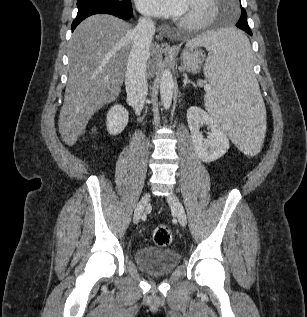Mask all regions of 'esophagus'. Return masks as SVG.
I'll return each mask as SVG.
<instances>
[{
  "instance_id": "obj_1",
  "label": "esophagus",
  "mask_w": 307,
  "mask_h": 317,
  "mask_svg": "<svg viewBox=\"0 0 307 317\" xmlns=\"http://www.w3.org/2000/svg\"><path fill=\"white\" fill-rule=\"evenodd\" d=\"M160 50L164 53H173V49L167 42H162L160 44Z\"/></svg>"
}]
</instances>
